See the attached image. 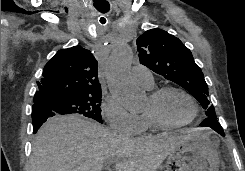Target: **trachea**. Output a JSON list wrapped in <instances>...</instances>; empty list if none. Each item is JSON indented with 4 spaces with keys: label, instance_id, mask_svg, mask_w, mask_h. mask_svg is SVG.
I'll list each match as a JSON object with an SVG mask.
<instances>
[{
    "label": "trachea",
    "instance_id": "obj_1",
    "mask_svg": "<svg viewBox=\"0 0 245 171\" xmlns=\"http://www.w3.org/2000/svg\"><path fill=\"white\" fill-rule=\"evenodd\" d=\"M98 1L94 3V7L100 12V13H107L110 10V4L108 1L104 0H95ZM100 23L105 24L106 19L104 17L100 18Z\"/></svg>",
    "mask_w": 245,
    "mask_h": 171
}]
</instances>
